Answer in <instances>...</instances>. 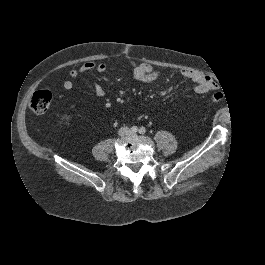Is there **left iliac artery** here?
<instances>
[{"label":"left iliac artery","mask_w":265,"mask_h":265,"mask_svg":"<svg viewBox=\"0 0 265 265\" xmlns=\"http://www.w3.org/2000/svg\"><path fill=\"white\" fill-rule=\"evenodd\" d=\"M145 132H146V129H145L144 127H141V128L139 129V133H140V134H145Z\"/></svg>","instance_id":"left-iliac-artery-1"}]
</instances>
